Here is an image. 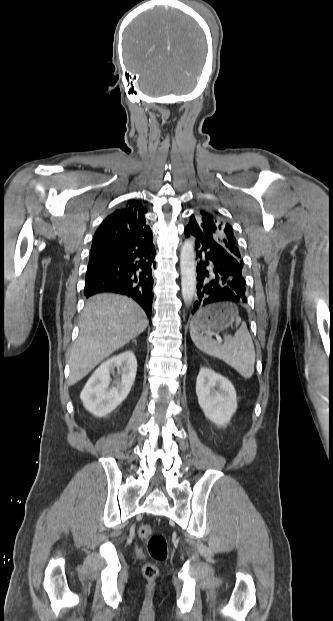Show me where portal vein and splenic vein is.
I'll use <instances>...</instances> for the list:
<instances>
[{"label":"portal vein and splenic vein","mask_w":333,"mask_h":621,"mask_svg":"<svg viewBox=\"0 0 333 621\" xmlns=\"http://www.w3.org/2000/svg\"><path fill=\"white\" fill-rule=\"evenodd\" d=\"M218 342H222V339L220 337L217 338Z\"/></svg>","instance_id":"1"}]
</instances>
